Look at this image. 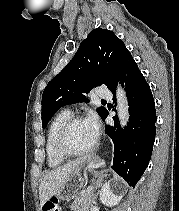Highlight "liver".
I'll return each mask as SVG.
<instances>
[{"mask_svg": "<svg viewBox=\"0 0 179 211\" xmlns=\"http://www.w3.org/2000/svg\"><path fill=\"white\" fill-rule=\"evenodd\" d=\"M85 158H81L49 171L39 186L40 205L43 206L52 196L57 194L71 172L82 167Z\"/></svg>", "mask_w": 179, "mask_h": 211, "instance_id": "liver-1", "label": "liver"}]
</instances>
